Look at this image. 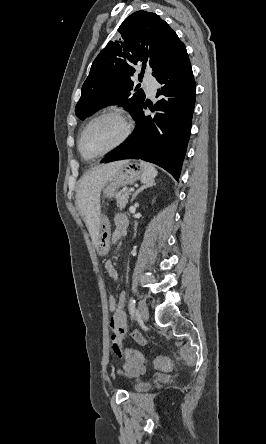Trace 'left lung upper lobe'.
<instances>
[{
  "mask_svg": "<svg viewBox=\"0 0 266 444\" xmlns=\"http://www.w3.org/2000/svg\"><path fill=\"white\" fill-rule=\"evenodd\" d=\"M121 37L110 41L92 63L89 76L82 86L76 116L85 119L94 110L111 105L124 106L135 117L142 107L145 94L135 88L134 65L152 68L157 78L171 68L186 53L183 42L157 14L137 11L120 25Z\"/></svg>",
  "mask_w": 266,
  "mask_h": 444,
  "instance_id": "5c2ea615",
  "label": "left lung upper lobe"
}]
</instances>
